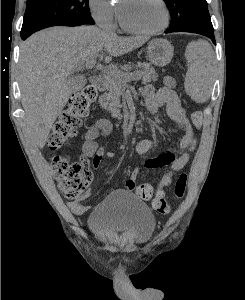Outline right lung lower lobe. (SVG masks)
Here are the masks:
<instances>
[{"mask_svg": "<svg viewBox=\"0 0 245 300\" xmlns=\"http://www.w3.org/2000/svg\"><path fill=\"white\" fill-rule=\"evenodd\" d=\"M27 37H28V35H26V36H21V38H22L23 40H25Z\"/></svg>", "mask_w": 245, "mask_h": 300, "instance_id": "98d812e1", "label": "right lung lower lobe"}]
</instances>
